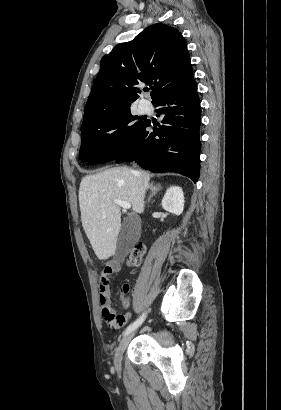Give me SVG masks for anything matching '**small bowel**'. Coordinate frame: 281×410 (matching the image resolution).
I'll return each mask as SVG.
<instances>
[{
    "label": "small bowel",
    "mask_w": 281,
    "mask_h": 410,
    "mask_svg": "<svg viewBox=\"0 0 281 410\" xmlns=\"http://www.w3.org/2000/svg\"><path fill=\"white\" fill-rule=\"evenodd\" d=\"M120 264L119 263H108L106 264L99 276L98 286H99V302L101 305L102 313H104L107 309H111V299H110V288H109V279L110 276L114 273L120 271ZM122 317V325L126 323L129 318V315H121Z\"/></svg>",
    "instance_id": "obj_1"
}]
</instances>
